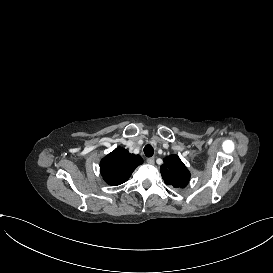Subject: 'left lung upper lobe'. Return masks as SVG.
<instances>
[{"mask_svg": "<svg viewBox=\"0 0 273 273\" xmlns=\"http://www.w3.org/2000/svg\"><path fill=\"white\" fill-rule=\"evenodd\" d=\"M160 172L166 184L184 188L190 179V172L177 155H170L164 159Z\"/></svg>", "mask_w": 273, "mask_h": 273, "instance_id": "obj_1", "label": "left lung upper lobe"}]
</instances>
